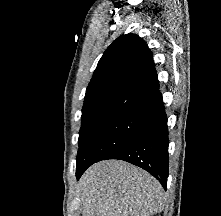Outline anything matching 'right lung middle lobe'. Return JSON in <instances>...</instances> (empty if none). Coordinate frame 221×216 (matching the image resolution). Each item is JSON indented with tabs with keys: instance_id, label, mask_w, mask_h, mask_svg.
I'll return each mask as SVG.
<instances>
[{
	"instance_id": "1",
	"label": "right lung middle lobe",
	"mask_w": 221,
	"mask_h": 216,
	"mask_svg": "<svg viewBox=\"0 0 221 216\" xmlns=\"http://www.w3.org/2000/svg\"><path fill=\"white\" fill-rule=\"evenodd\" d=\"M147 121L148 114L115 113L82 123L77 166L91 165L104 160L138 135Z\"/></svg>"
}]
</instances>
